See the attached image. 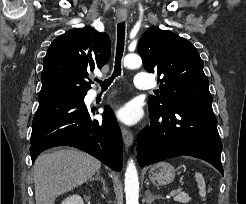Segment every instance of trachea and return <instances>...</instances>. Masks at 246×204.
Instances as JSON below:
<instances>
[{
  "instance_id": "obj_1",
  "label": "trachea",
  "mask_w": 246,
  "mask_h": 204,
  "mask_svg": "<svg viewBox=\"0 0 246 204\" xmlns=\"http://www.w3.org/2000/svg\"><path fill=\"white\" fill-rule=\"evenodd\" d=\"M124 40H125V23H119L117 25V48H116V57H115V66L113 75L102 81L96 79V81L101 85L102 89H107L108 86L113 82L114 78L121 74V59L124 51Z\"/></svg>"
}]
</instances>
